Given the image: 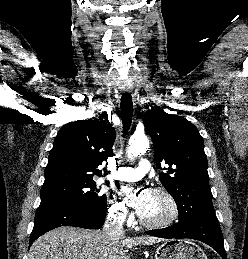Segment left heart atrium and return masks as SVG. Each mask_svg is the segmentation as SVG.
I'll return each instance as SVG.
<instances>
[{"label":"left heart atrium","instance_id":"obj_1","mask_svg":"<svg viewBox=\"0 0 248 259\" xmlns=\"http://www.w3.org/2000/svg\"><path fill=\"white\" fill-rule=\"evenodd\" d=\"M121 194L130 202V205L140 216L145 213L152 197V192L148 189H134L131 187L122 188Z\"/></svg>","mask_w":248,"mask_h":259}]
</instances>
